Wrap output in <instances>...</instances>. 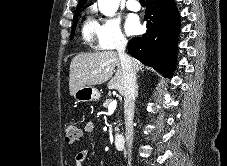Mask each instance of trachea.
I'll return each mask as SVG.
<instances>
[{
    "label": "trachea",
    "instance_id": "obj_1",
    "mask_svg": "<svg viewBox=\"0 0 227 166\" xmlns=\"http://www.w3.org/2000/svg\"><path fill=\"white\" fill-rule=\"evenodd\" d=\"M141 3H145V0H139Z\"/></svg>",
    "mask_w": 227,
    "mask_h": 166
}]
</instances>
